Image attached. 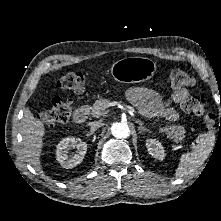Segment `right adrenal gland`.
<instances>
[{
	"label": "right adrenal gland",
	"instance_id": "right-adrenal-gland-1",
	"mask_svg": "<svg viewBox=\"0 0 221 221\" xmlns=\"http://www.w3.org/2000/svg\"><path fill=\"white\" fill-rule=\"evenodd\" d=\"M93 133H94V132H89V133L87 134V136H91Z\"/></svg>",
	"mask_w": 221,
	"mask_h": 221
}]
</instances>
